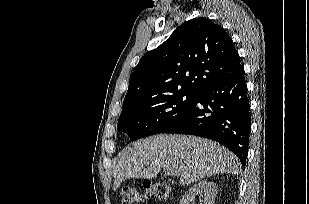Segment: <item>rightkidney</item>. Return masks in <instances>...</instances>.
<instances>
[{
  "label": "right kidney",
  "mask_w": 309,
  "mask_h": 204,
  "mask_svg": "<svg viewBox=\"0 0 309 204\" xmlns=\"http://www.w3.org/2000/svg\"><path fill=\"white\" fill-rule=\"evenodd\" d=\"M199 194H204L200 204H214L217 195V185L209 181H199L194 184L180 200V204H189Z\"/></svg>",
  "instance_id": "right-kidney-1"
}]
</instances>
